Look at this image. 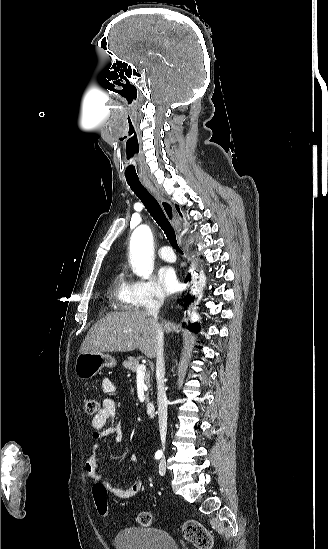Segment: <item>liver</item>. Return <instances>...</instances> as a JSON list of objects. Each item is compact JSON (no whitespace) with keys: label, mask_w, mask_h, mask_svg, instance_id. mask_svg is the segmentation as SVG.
I'll list each match as a JSON object with an SVG mask.
<instances>
[{"label":"liver","mask_w":328,"mask_h":549,"mask_svg":"<svg viewBox=\"0 0 328 549\" xmlns=\"http://www.w3.org/2000/svg\"><path fill=\"white\" fill-rule=\"evenodd\" d=\"M159 325L162 333L178 331V325L163 321H154L145 311H122L108 313L99 319L87 333L80 353H127L140 349L148 359L156 355V329Z\"/></svg>","instance_id":"6515ba94"}]
</instances>
